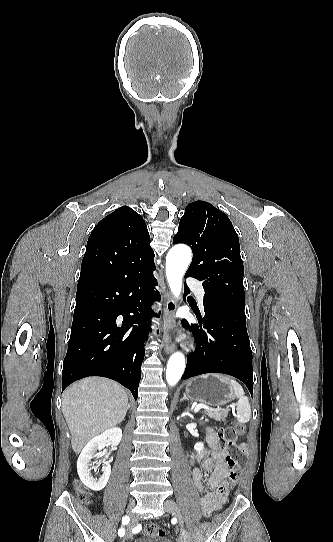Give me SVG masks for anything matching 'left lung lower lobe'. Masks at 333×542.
<instances>
[{
    "mask_svg": "<svg viewBox=\"0 0 333 542\" xmlns=\"http://www.w3.org/2000/svg\"><path fill=\"white\" fill-rule=\"evenodd\" d=\"M189 292L185 285V293ZM211 303V308L204 310L203 319L199 310H194L200 327L182 320V326L193 333L197 343L188 356L182 379L213 372L229 374L241 380L252 395V351L244 304L223 298H215Z\"/></svg>",
    "mask_w": 333,
    "mask_h": 542,
    "instance_id": "0a47b994",
    "label": "left lung lower lobe"
}]
</instances>
